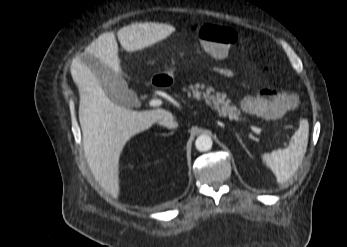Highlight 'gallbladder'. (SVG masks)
<instances>
[{"mask_svg":"<svg viewBox=\"0 0 347 247\" xmlns=\"http://www.w3.org/2000/svg\"><path fill=\"white\" fill-rule=\"evenodd\" d=\"M82 61L91 69L105 94L114 103L128 108L137 104L136 93L128 88L121 73L113 71L92 55L83 56Z\"/></svg>","mask_w":347,"mask_h":247,"instance_id":"bac80fb5","label":"gallbladder"}]
</instances>
